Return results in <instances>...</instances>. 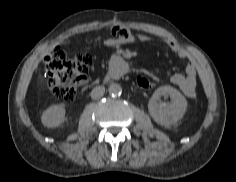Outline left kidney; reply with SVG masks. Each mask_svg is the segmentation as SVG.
<instances>
[{
  "mask_svg": "<svg viewBox=\"0 0 236 182\" xmlns=\"http://www.w3.org/2000/svg\"><path fill=\"white\" fill-rule=\"evenodd\" d=\"M167 95L170 96L171 102H162L160 98ZM186 108V98L171 86L157 88L148 103V110L152 119L162 126L176 124L184 116Z\"/></svg>",
  "mask_w": 236,
  "mask_h": 182,
  "instance_id": "1",
  "label": "left kidney"
}]
</instances>
